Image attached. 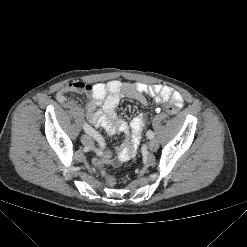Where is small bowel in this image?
<instances>
[{"label": "small bowel", "instance_id": "small-bowel-1", "mask_svg": "<svg viewBox=\"0 0 247 247\" xmlns=\"http://www.w3.org/2000/svg\"><path fill=\"white\" fill-rule=\"evenodd\" d=\"M71 93L85 94L88 97L86 116L95 127L104 129L108 134L124 133L128 136L116 158H111L110 152H102L96 160L104 164L118 166L129 160L136 152L140 142L141 132L146 122V115L139 114L128 125L120 119L115 112L116 107L124 98L131 99L145 105V94L154 98L157 103L170 102L176 107L183 106V98L178 91L159 84L147 85L143 83H122L112 80L107 83L87 84L80 81L70 82L60 88L56 93L57 101L65 108L79 112L76 103L68 98Z\"/></svg>", "mask_w": 247, "mask_h": 247}]
</instances>
